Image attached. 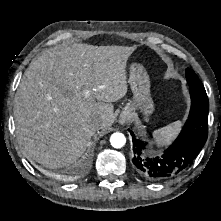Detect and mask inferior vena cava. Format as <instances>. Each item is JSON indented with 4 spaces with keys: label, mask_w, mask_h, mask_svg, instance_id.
Returning a JSON list of instances; mask_svg holds the SVG:
<instances>
[{
    "label": "inferior vena cava",
    "mask_w": 221,
    "mask_h": 221,
    "mask_svg": "<svg viewBox=\"0 0 221 221\" xmlns=\"http://www.w3.org/2000/svg\"><path fill=\"white\" fill-rule=\"evenodd\" d=\"M102 125V119L101 117H96L94 119H92L89 123V127L93 130V131H97L101 128Z\"/></svg>",
    "instance_id": "inferior-vena-cava-1"
}]
</instances>
